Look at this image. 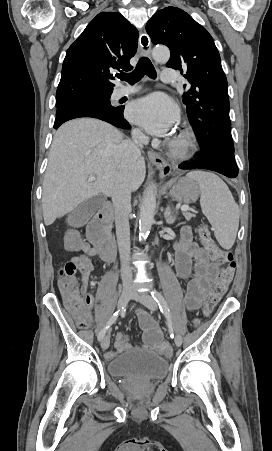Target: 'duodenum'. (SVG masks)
I'll list each match as a JSON object with an SVG mask.
<instances>
[{
  "instance_id": "410a0bca",
  "label": "duodenum",
  "mask_w": 272,
  "mask_h": 451,
  "mask_svg": "<svg viewBox=\"0 0 272 451\" xmlns=\"http://www.w3.org/2000/svg\"><path fill=\"white\" fill-rule=\"evenodd\" d=\"M112 224V207L104 204L87 227L88 240L96 248L104 261H111L115 257V241L109 233Z\"/></svg>"
}]
</instances>
